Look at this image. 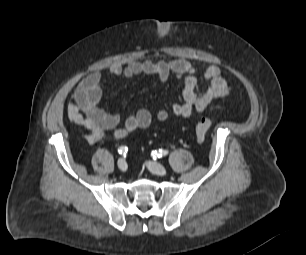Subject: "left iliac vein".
I'll return each instance as SVG.
<instances>
[{"instance_id": "1", "label": "left iliac vein", "mask_w": 306, "mask_h": 255, "mask_svg": "<svg viewBox=\"0 0 306 255\" xmlns=\"http://www.w3.org/2000/svg\"><path fill=\"white\" fill-rule=\"evenodd\" d=\"M146 166L154 174L164 176L167 173L166 168L160 163L148 161L146 162Z\"/></svg>"}]
</instances>
